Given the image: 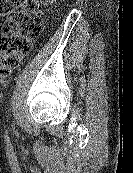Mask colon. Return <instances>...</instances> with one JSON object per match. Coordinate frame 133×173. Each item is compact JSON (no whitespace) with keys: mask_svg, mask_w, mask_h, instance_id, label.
Masks as SVG:
<instances>
[{"mask_svg":"<svg viewBox=\"0 0 133 173\" xmlns=\"http://www.w3.org/2000/svg\"><path fill=\"white\" fill-rule=\"evenodd\" d=\"M43 30L35 0H0V74L8 76Z\"/></svg>","mask_w":133,"mask_h":173,"instance_id":"obj_1","label":"colon"}]
</instances>
